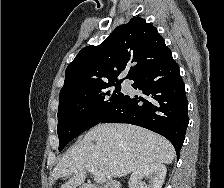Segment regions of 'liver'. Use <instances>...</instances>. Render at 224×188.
<instances>
[{
  "label": "liver",
  "mask_w": 224,
  "mask_h": 188,
  "mask_svg": "<svg viewBox=\"0 0 224 188\" xmlns=\"http://www.w3.org/2000/svg\"><path fill=\"white\" fill-rule=\"evenodd\" d=\"M173 145L164 137L129 124H100L69 149L52 172V181L71 178L61 188H84L89 167L106 178L122 177L151 163L170 164Z\"/></svg>",
  "instance_id": "1"
}]
</instances>
